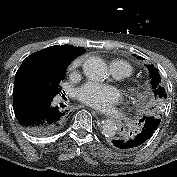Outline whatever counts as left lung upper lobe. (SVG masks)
<instances>
[{
  "label": "left lung upper lobe",
  "mask_w": 177,
  "mask_h": 177,
  "mask_svg": "<svg viewBox=\"0 0 177 177\" xmlns=\"http://www.w3.org/2000/svg\"><path fill=\"white\" fill-rule=\"evenodd\" d=\"M147 68L150 70L151 85L153 91V101L152 107L150 108L149 116H154L156 118L161 117V108L167 98L166 90L164 85L161 82V77L158 70L151 64L147 65ZM141 124L138 130H140Z\"/></svg>",
  "instance_id": "left-lung-upper-lobe-1"
}]
</instances>
